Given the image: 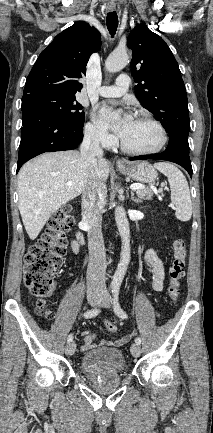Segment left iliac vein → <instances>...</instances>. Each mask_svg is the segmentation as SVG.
Here are the masks:
<instances>
[{"label":"left iliac vein","mask_w":213,"mask_h":433,"mask_svg":"<svg viewBox=\"0 0 213 433\" xmlns=\"http://www.w3.org/2000/svg\"><path fill=\"white\" fill-rule=\"evenodd\" d=\"M100 305L103 306V307H105V308H110V306H111V297H110V295L107 292L103 293ZM130 351H131V354L134 357H139L140 354H141L140 345L137 344V343H133L131 345Z\"/></svg>","instance_id":"obj_1"}]
</instances>
